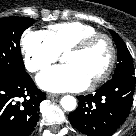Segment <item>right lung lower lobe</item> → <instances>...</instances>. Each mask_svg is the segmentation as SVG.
<instances>
[{"label": "right lung lower lobe", "instance_id": "98d812e1", "mask_svg": "<svg viewBox=\"0 0 136 136\" xmlns=\"http://www.w3.org/2000/svg\"><path fill=\"white\" fill-rule=\"evenodd\" d=\"M46 99L26 73L0 80V136H27L39 118V105Z\"/></svg>", "mask_w": 136, "mask_h": 136}]
</instances>
